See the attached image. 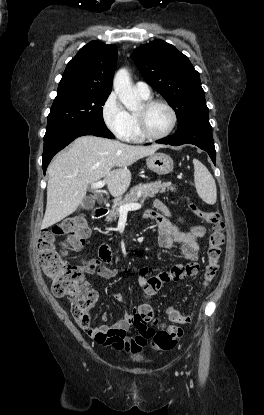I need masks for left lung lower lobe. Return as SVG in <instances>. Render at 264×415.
I'll list each match as a JSON object with an SVG mask.
<instances>
[{
    "label": "left lung lower lobe",
    "mask_w": 264,
    "mask_h": 415,
    "mask_svg": "<svg viewBox=\"0 0 264 415\" xmlns=\"http://www.w3.org/2000/svg\"><path fill=\"white\" fill-rule=\"evenodd\" d=\"M157 143L170 144L179 146L182 144H193L205 150L213 163L216 164V152L212 137V127L209 123V117H197L183 126L179 127L173 135L157 141Z\"/></svg>",
    "instance_id": "obj_1"
}]
</instances>
